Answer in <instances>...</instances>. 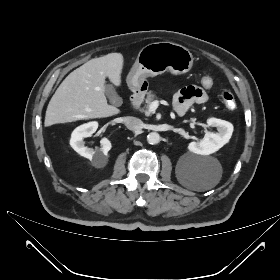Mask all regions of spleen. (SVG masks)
I'll list each match as a JSON object with an SVG mask.
<instances>
[{
	"mask_svg": "<svg viewBox=\"0 0 280 280\" xmlns=\"http://www.w3.org/2000/svg\"><path fill=\"white\" fill-rule=\"evenodd\" d=\"M217 183H218V180L215 181V182L208 183V184H206V185L204 186V189H205V190L211 189V188H213Z\"/></svg>",
	"mask_w": 280,
	"mask_h": 280,
	"instance_id": "obj_1",
	"label": "spleen"
}]
</instances>
